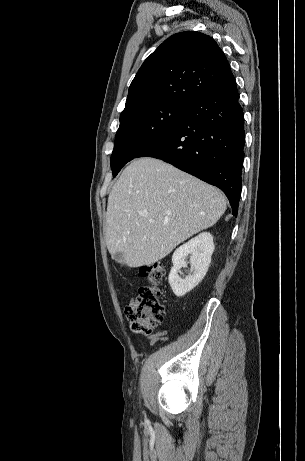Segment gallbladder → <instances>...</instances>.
I'll return each instance as SVG.
<instances>
[{
  "mask_svg": "<svg viewBox=\"0 0 305 461\" xmlns=\"http://www.w3.org/2000/svg\"><path fill=\"white\" fill-rule=\"evenodd\" d=\"M115 258H116L117 260L121 259V258H122V254H121V253H117V254L115 255Z\"/></svg>",
  "mask_w": 305,
  "mask_h": 461,
  "instance_id": "bac80fb5",
  "label": "gallbladder"
}]
</instances>
